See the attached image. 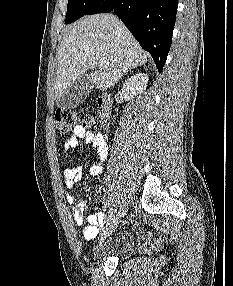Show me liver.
<instances>
[{"label": "liver", "mask_w": 233, "mask_h": 286, "mask_svg": "<svg viewBox=\"0 0 233 286\" xmlns=\"http://www.w3.org/2000/svg\"><path fill=\"white\" fill-rule=\"evenodd\" d=\"M57 55L55 99L99 61L104 62V68L93 71L90 77L92 88L96 86L103 91L117 83L129 69L148 60V53L112 14L85 16L77 21L64 35Z\"/></svg>", "instance_id": "liver-1"}]
</instances>
